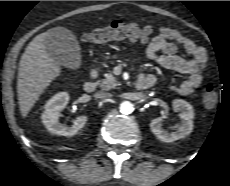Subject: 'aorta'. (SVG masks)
Here are the masks:
<instances>
[{"label": "aorta", "instance_id": "aorta-1", "mask_svg": "<svg viewBox=\"0 0 230 186\" xmlns=\"http://www.w3.org/2000/svg\"><path fill=\"white\" fill-rule=\"evenodd\" d=\"M119 109L122 114H130L134 110L133 104L130 101H123L120 104Z\"/></svg>", "mask_w": 230, "mask_h": 186}]
</instances>
